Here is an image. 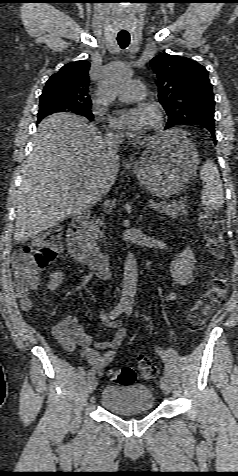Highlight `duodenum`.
Wrapping results in <instances>:
<instances>
[{
  "label": "duodenum",
  "instance_id": "duodenum-1",
  "mask_svg": "<svg viewBox=\"0 0 238 476\" xmlns=\"http://www.w3.org/2000/svg\"><path fill=\"white\" fill-rule=\"evenodd\" d=\"M89 221V214L80 213L70 223L66 243L72 256L100 278L112 274V257L93 251L85 242L84 233Z\"/></svg>",
  "mask_w": 238,
  "mask_h": 476
}]
</instances>
